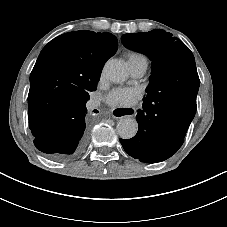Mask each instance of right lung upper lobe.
<instances>
[{
	"label": "right lung upper lobe",
	"mask_w": 227,
	"mask_h": 227,
	"mask_svg": "<svg viewBox=\"0 0 227 227\" xmlns=\"http://www.w3.org/2000/svg\"><path fill=\"white\" fill-rule=\"evenodd\" d=\"M117 48L114 35L93 31L62 34L43 48L30 75L28 114L34 137L58 123L69 102L89 98Z\"/></svg>",
	"instance_id": "1"
}]
</instances>
